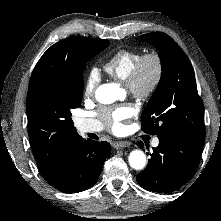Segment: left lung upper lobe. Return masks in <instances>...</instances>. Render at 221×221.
Returning <instances> with one entry per match:
<instances>
[{"mask_svg": "<svg viewBox=\"0 0 221 221\" xmlns=\"http://www.w3.org/2000/svg\"><path fill=\"white\" fill-rule=\"evenodd\" d=\"M141 39L156 46L162 66L159 84L142 113V130L158 137L205 136L203 104L188 57L165 33Z\"/></svg>", "mask_w": 221, "mask_h": 221, "instance_id": "left-lung-upper-lobe-1", "label": "left lung upper lobe"}]
</instances>
